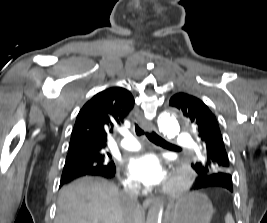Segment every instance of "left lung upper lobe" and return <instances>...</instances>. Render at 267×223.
<instances>
[{
	"instance_id": "1",
	"label": "left lung upper lobe",
	"mask_w": 267,
	"mask_h": 223,
	"mask_svg": "<svg viewBox=\"0 0 267 223\" xmlns=\"http://www.w3.org/2000/svg\"><path fill=\"white\" fill-rule=\"evenodd\" d=\"M169 105L180 110L197 131L203 153L192 163L193 169L197 173H230L220 128L210 109L200 99L186 93L172 96Z\"/></svg>"
}]
</instances>
